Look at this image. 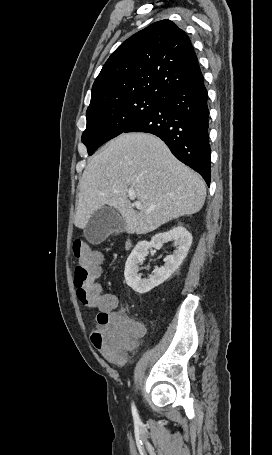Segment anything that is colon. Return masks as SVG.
I'll return each instance as SVG.
<instances>
[{"mask_svg":"<svg viewBox=\"0 0 272 455\" xmlns=\"http://www.w3.org/2000/svg\"><path fill=\"white\" fill-rule=\"evenodd\" d=\"M75 259L74 285L78 300L98 310L91 342L111 362L121 363L124 352L143 334V327L121 312L115 311L116 299L96 282L102 254L82 240L73 243Z\"/></svg>","mask_w":272,"mask_h":455,"instance_id":"1","label":"colon"}]
</instances>
